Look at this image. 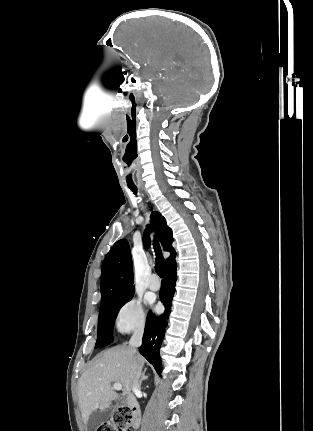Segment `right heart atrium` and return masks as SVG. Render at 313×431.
<instances>
[{
    "label": "right heart atrium",
    "mask_w": 313,
    "mask_h": 431,
    "mask_svg": "<svg viewBox=\"0 0 313 431\" xmlns=\"http://www.w3.org/2000/svg\"><path fill=\"white\" fill-rule=\"evenodd\" d=\"M146 324V313L142 302L132 298L125 302L118 310L116 327L121 332L141 330Z\"/></svg>",
    "instance_id": "obj_1"
}]
</instances>
